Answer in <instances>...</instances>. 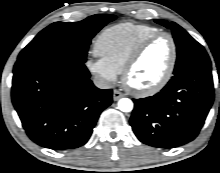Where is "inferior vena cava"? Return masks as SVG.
I'll return each instance as SVG.
<instances>
[{
    "label": "inferior vena cava",
    "instance_id": "1",
    "mask_svg": "<svg viewBox=\"0 0 220 173\" xmlns=\"http://www.w3.org/2000/svg\"><path fill=\"white\" fill-rule=\"evenodd\" d=\"M93 83L99 89H108L112 86V82L101 75H96L93 79Z\"/></svg>",
    "mask_w": 220,
    "mask_h": 173
}]
</instances>
